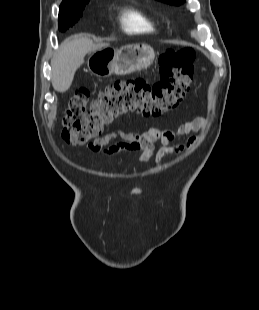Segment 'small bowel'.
I'll return each instance as SVG.
<instances>
[{
    "mask_svg": "<svg viewBox=\"0 0 259 310\" xmlns=\"http://www.w3.org/2000/svg\"><path fill=\"white\" fill-rule=\"evenodd\" d=\"M208 122L205 118L197 117L182 122L175 129L162 130L159 127H152L140 135H133L125 130L117 129L108 133L88 145L87 149L93 153H99L109 157L120 151H130L138 153V162L145 163L154 159L161 165L166 155L174 152H182L191 147L196 137L192 136L186 143L172 146L180 137L196 133L207 128ZM121 138L122 141L109 144L111 140ZM160 143L159 149H155V144Z\"/></svg>",
    "mask_w": 259,
    "mask_h": 310,
    "instance_id": "small-bowel-1",
    "label": "small bowel"
}]
</instances>
